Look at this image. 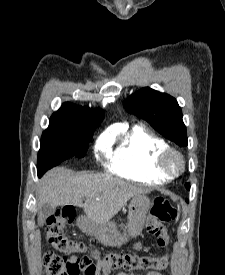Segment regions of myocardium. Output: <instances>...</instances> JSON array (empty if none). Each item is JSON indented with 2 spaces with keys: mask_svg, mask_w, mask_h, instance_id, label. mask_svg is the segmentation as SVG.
<instances>
[{
  "mask_svg": "<svg viewBox=\"0 0 225 275\" xmlns=\"http://www.w3.org/2000/svg\"><path fill=\"white\" fill-rule=\"evenodd\" d=\"M158 168L165 174L176 177L185 169V159L180 151L167 147L158 156Z\"/></svg>",
  "mask_w": 225,
  "mask_h": 275,
  "instance_id": "myocardium-1",
  "label": "myocardium"
}]
</instances>
